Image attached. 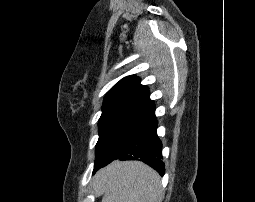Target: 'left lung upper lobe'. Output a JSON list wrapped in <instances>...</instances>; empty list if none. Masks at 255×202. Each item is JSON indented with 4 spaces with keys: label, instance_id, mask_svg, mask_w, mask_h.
I'll return each mask as SVG.
<instances>
[{
    "label": "left lung upper lobe",
    "instance_id": "1",
    "mask_svg": "<svg viewBox=\"0 0 255 202\" xmlns=\"http://www.w3.org/2000/svg\"><path fill=\"white\" fill-rule=\"evenodd\" d=\"M155 111L146 86L136 75L121 79L106 94L99 119L95 163L113 158L131 135Z\"/></svg>",
    "mask_w": 255,
    "mask_h": 202
}]
</instances>
